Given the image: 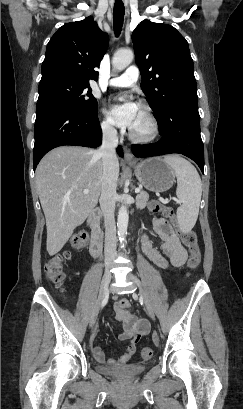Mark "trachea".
I'll use <instances>...</instances> for the list:
<instances>
[{
	"label": "trachea",
	"mask_w": 243,
	"mask_h": 409,
	"mask_svg": "<svg viewBox=\"0 0 243 409\" xmlns=\"http://www.w3.org/2000/svg\"><path fill=\"white\" fill-rule=\"evenodd\" d=\"M124 13L125 7L123 2L116 1L114 4V11H113V25H114V33L116 37H118L121 33L123 22H124Z\"/></svg>",
	"instance_id": "trachea-1"
}]
</instances>
